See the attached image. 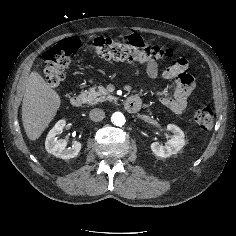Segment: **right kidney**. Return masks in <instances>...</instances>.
<instances>
[{
  "instance_id": "ca27d5eb",
  "label": "right kidney",
  "mask_w": 236,
  "mask_h": 236,
  "mask_svg": "<svg viewBox=\"0 0 236 236\" xmlns=\"http://www.w3.org/2000/svg\"><path fill=\"white\" fill-rule=\"evenodd\" d=\"M66 125L65 120H59L55 126L49 131L45 148L48 153L62 159H71L78 155L81 150V143L76 141L72 147L66 148L67 141L65 139L57 140V135L63 131Z\"/></svg>"
}]
</instances>
